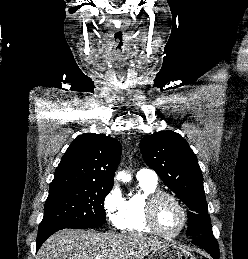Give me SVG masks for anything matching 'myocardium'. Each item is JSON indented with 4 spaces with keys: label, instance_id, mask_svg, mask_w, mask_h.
Returning <instances> with one entry per match:
<instances>
[{
    "label": "myocardium",
    "instance_id": "f54148a6",
    "mask_svg": "<svg viewBox=\"0 0 248 259\" xmlns=\"http://www.w3.org/2000/svg\"><path fill=\"white\" fill-rule=\"evenodd\" d=\"M165 197L173 200L176 203V205L179 207L181 214H182V223H181L180 228L176 232L171 233V234L163 232L160 229V227L157 223V219H156L157 205H158L159 201ZM145 216H146L147 224L149 225L151 230L154 233L158 234L159 236H161L163 238H167V239L175 238L178 235H180L183 232V230L185 229V227L187 225V221H188L187 210H186L184 204L182 203V201L173 193H170L168 191H163V190H157V191L151 193L147 197L146 205H145Z\"/></svg>",
    "mask_w": 248,
    "mask_h": 259
}]
</instances>
